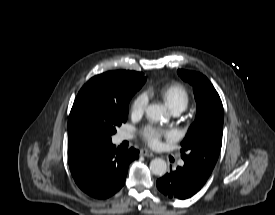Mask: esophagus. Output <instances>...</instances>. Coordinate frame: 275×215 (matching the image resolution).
<instances>
[{"label":"esophagus","instance_id":"esophagus-1","mask_svg":"<svg viewBox=\"0 0 275 215\" xmlns=\"http://www.w3.org/2000/svg\"><path fill=\"white\" fill-rule=\"evenodd\" d=\"M140 154L142 156H146V157H153L154 156V154L148 149H141Z\"/></svg>","mask_w":275,"mask_h":215}]
</instances>
